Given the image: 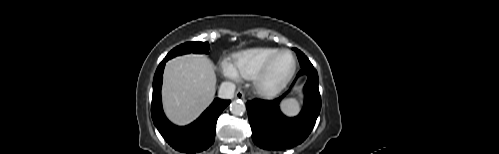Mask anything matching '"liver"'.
I'll return each mask as SVG.
<instances>
[{
  "mask_svg": "<svg viewBox=\"0 0 499 154\" xmlns=\"http://www.w3.org/2000/svg\"><path fill=\"white\" fill-rule=\"evenodd\" d=\"M216 75L212 62L200 54L178 56L166 63L163 75V107L176 125L194 121L215 96Z\"/></svg>",
  "mask_w": 499,
  "mask_h": 154,
  "instance_id": "obj_1",
  "label": "liver"
}]
</instances>
